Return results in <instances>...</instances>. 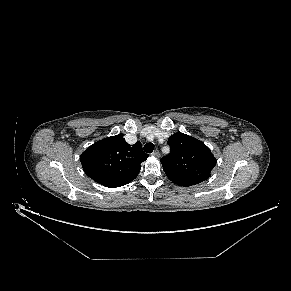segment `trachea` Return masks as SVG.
Here are the masks:
<instances>
[{
  "mask_svg": "<svg viewBox=\"0 0 291 291\" xmlns=\"http://www.w3.org/2000/svg\"><path fill=\"white\" fill-rule=\"evenodd\" d=\"M153 149H154V144L153 143H147L144 146V151L146 153H152L153 152Z\"/></svg>",
  "mask_w": 291,
  "mask_h": 291,
  "instance_id": "3493384b",
  "label": "trachea"
}]
</instances>
